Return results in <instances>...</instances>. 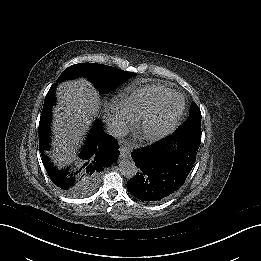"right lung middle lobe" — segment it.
Instances as JSON below:
<instances>
[{
  "instance_id": "obj_1",
  "label": "right lung middle lobe",
  "mask_w": 261,
  "mask_h": 261,
  "mask_svg": "<svg viewBox=\"0 0 261 261\" xmlns=\"http://www.w3.org/2000/svg\"><path fill=\"white\" fill-rule=\"evenodd\" d=\"M132 75H134L133 72L118 70L114 67H109L106 65L96 63H79L64 70L57 81L71 79L77 76H85L98 88L99 91L106 92L117 87ZM86 166L87 163L85 160H81L79 157L69 164L65 163L59 166V168L67 170L69 174L75 176L77 179L75 190L68 194H81V189L85 186L86 182L89 181V177L84 174V169ZM92 181L93 180H91V182Z\"/></svg>"
}]
</instances>
